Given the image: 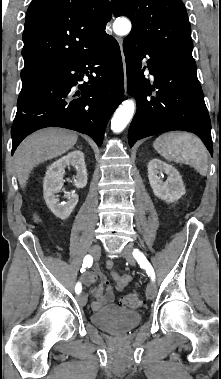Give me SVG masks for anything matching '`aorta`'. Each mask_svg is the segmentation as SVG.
<instances>
[{
	"label": "aorta",
	"instance_id": "1",
	"mask_svg": "<svg viewBox=\"0 0 221 379\" xmlns=\"http://www.w3.org/2000/svg\"><path fill=\"white\" fill-rule=\"evenodd\" d=\"M113 30L117 35H127L131 31V22L127 18H117L113 23ZM135 110V101L129 99L124 101L115 111L111 120V129L120 133L131 120Z\"/></svg>",
	"mask_w": 221,
	"mask_h": 379
}]
</instances>
